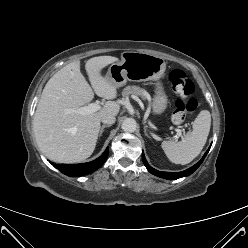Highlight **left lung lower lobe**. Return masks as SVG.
Masks as SVG:
<instances>
[{
    "instance_id": "left-lung-lower-lobe-1",
    "label": "left lung lower lobe",
    "mask_w": 248,
    "mask_h": 248,
    "mask_svg": "<svg viewBox=\"0 0 248 248\" xmlns=\"http://www.w3.org/2000/svg\"><path fill=\"white\" fill-rule=\"evenodd\" d=\"M210 149V148H209ZM209 149L206 151V153L204 154V156L202 157V159L196 163L194 166H192L191 168L187 169V170H184L182 172H175V173H172V172H162V171H158L154 168H152L146 161L145 159V156H144V153L142 154V160H143V163L144 165L146 166L147 170L149 172H151L152 174L158 176V177H161V178H165V179H169V180H174V179H178V178H181V177H185V176H188L190 174H192L200 165L201 163L203 162L204 158L206 157Z\"/></svg>"
}]
</instances>
